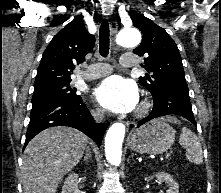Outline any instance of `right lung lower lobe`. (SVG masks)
I'll return each mask as SVG.
<instances>
[{"instance_id": "obj_1", "label": "right lung lower lobe", "mask_w": 221, "mask_h": 193, "mask_svg": "<svg viewBox=\"0 0 221 193\" xmlns=\"http://www.w3.org/2000/svg\"><path fill=\"white\" fill-rule=\"evenodd\" d=\"M108 123H95L82 98L53 99L32 104L24 148L42 130L52 126H70L92 138L98 146Z\"/></svg>"}]
</instances>
